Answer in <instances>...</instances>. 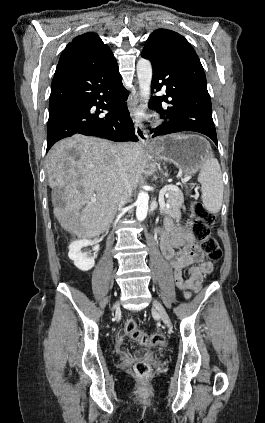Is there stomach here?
<instances>
[{
    "instance_id": "0dacf381",
    "label": "stomach",
    "mask_w": 265,
    "mask_h": 423,
    "mask_svg": "<svg viewBox=\"0 0 265 423\" xmlns=\"http://www.w3.org/2000/svg\"><path fill=\"white\" fill-rule=\"evenodd\" d=\"M151 151L157 160L173 163L184 174H194L201 169L210 147L199 135H170L157 139Z\"/></svg>"
}]
</instances>
